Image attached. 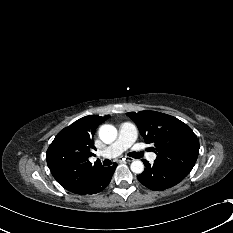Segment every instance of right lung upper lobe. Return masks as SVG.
<instances>
[{
  "mask_svg": "<svg viewBox=\"0 0 233 233\" xmlns=\"http://www.w3.org/2000/svg\"><path fill=\"white\" fill-rule=\"evenodd\" d=\"M108 117H83L62 130L50 144L46 152L47 165L57 182L66 190L83 194L104 168L100 162L92 165L89 157L96 150L93 142L95 129Z\"/></svg>",
  "mask_w": 233,
  "mask_h": 233,
  "instance_id": "cb5924a9",
  "label": "right lung upper lobe"
}]
</instances>
